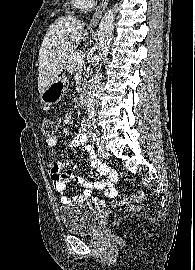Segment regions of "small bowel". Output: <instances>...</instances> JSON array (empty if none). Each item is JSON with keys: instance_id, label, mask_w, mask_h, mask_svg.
Returning a JSON list of instances; mask_svg holds the SVG:
<instances>
[{"instance_id": "c3829d8e", "label": "small bowel", "mask_w": 195, "mask_h": 270, "mask_svg": "<svg viewBox=\"0 0 195 270\" xmlns=\"http://www.w3.org/2000/svg\"><path fill=\"white\" fill-rule=\"evenodd\" d=\"M71 118L70 114L64 116L62 123L66 124ZM68 129L63 127L61 134H67ZM59 140V134H54L53 136L47 139V144L50 147H55ZM71 146H81L85 153L91 158V167L97 171V174L100 177H107V181L96 180L94 182L87 181L85 176H75L74 168L67 171L66 174H63L62 171L66 169L70 162L66 161H55L52 160L48 166V172L51 177L53 187L56 192L60 194V200L62 204H70L74 202H91L96 205H102L103 201L95 194V191H102L103 194L113 199L117 196V189L115 187L118 180L117 172L112 169L107 164L103 163L100 159L97 158L95 151L87 142V137L84 133L80 132L72 140ZM76 181L84 187V190L71 199L66 194L67 184Z\"/></svg>"}]
</instances>
